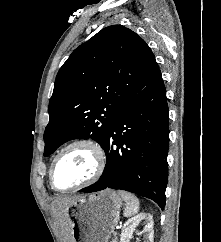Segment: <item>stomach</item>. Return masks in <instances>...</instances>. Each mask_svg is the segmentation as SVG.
<instances>
[{"instance_id":"0dacf381","label":"stomach","mask_w":221,"mask_h":242,"mask_svg":"<svg viewBox=\"0 0 221 242\" xmlns=\"http://www.w3.org/2000/svg\"><path fill=\"white\" fill-rule=\"evenodd\" d=\"M122 199L112 190L80 196L67 209L71 242H108L119 221Z\"/></svg>"}]
</instances>
